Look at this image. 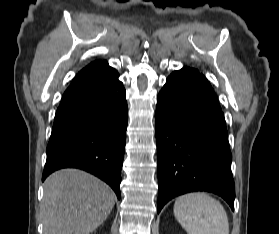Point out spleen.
<instances>
[{"mask_svg":"<svg viewBox=\"0 0 279 234\" xmlns=\"http://www.w3.org/2000/svg\"><path fill=\"white\" fill-rule=\"evenodd\" d=\"M173 212L188 234H229L224 207L205 193H190L177 198Z\"/></svg>","mask_w":279,"mask_h":234,"instance_id":"spleen-1","label":"spleen"}]
</instances>
